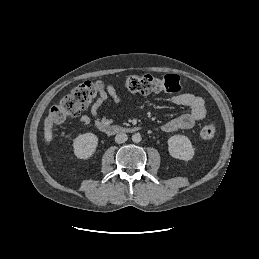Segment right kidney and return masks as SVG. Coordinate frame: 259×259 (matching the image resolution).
Listing matches in <instances>:
<instances>
[{"mask_svg":"<svg viewBox=\"0 0 259 259\" xmlns=\"http://www.w3.org/2000/svg\"><path fill=\"white\" fill-rule=\"evenodd\" d=\"M98 138L93 133L80 134L74 139V154L79 159H89L96 151Z\"/></svg>","mask_w":259,"mask_h":259,"instance_id":"1","label":"right kidney"}]
</instances>
